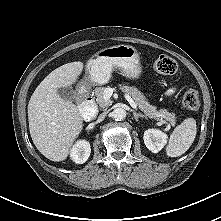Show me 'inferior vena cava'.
<instances>
[{
  "label": "inferior vena cava",
  "instance_id": "1",
  "mask_svg": "<svg viewBox=\"0 0 221 221\" xmlns=\"http://www.w3.org/2000/svg\"><path fill=\"white\" fill-rule=\"evenodd\" d=\"M105 116H106V113H102V114L99 116L98 121H99V122L102 121V120L105 118Z\"/></svg>",
  "mask_w": 221,
  "mask_h": 221
}]
</instances>
